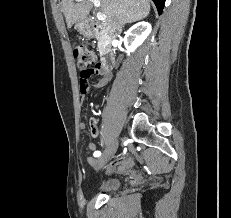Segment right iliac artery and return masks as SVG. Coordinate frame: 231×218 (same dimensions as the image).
<instances>
[{
    "instance_id": "right-iliac-artery-1",
    "label": "right iliac artery",
    "mask_w": 231,
    "mask_h": 218,
    "mask_svg": "<svg viewBox=\"0 0 231 218\" xmlns=\"http://www.w3.org/2000/svg\"><path fill=\"white\" fill-rule=\"evenodd\" d=\"M100 155H101V152H100V151L94 152V157H99Z\"/></svg>"
}]
</instances>
